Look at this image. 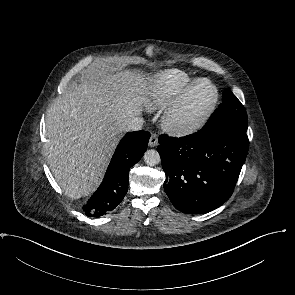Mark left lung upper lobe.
<instances>
[{
  "instance_id": "obj_1",
  "label": "left lung upper lobe",
  "mask_w": 295,
  "mask_h": 295,
  "mask_svg": "<svg viewBox=\"0 0 295 295\" xmlns=\"http://www.w3.org/2000/svg\"><path fill=\"white\" fill-rule=\"evenodd\" d=\"M216 126L229 127L246 133L248 126L246 110L230 89L223 92V102L204 127Z\"/></svg>"
}]
</instances>
